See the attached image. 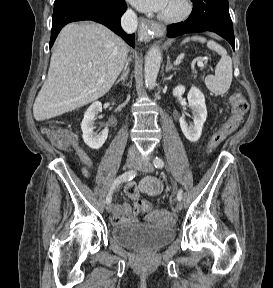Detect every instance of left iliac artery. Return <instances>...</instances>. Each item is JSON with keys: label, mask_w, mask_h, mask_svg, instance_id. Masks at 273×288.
Returning a JSON list of instances; mask_svg holds the SVG:
<instances>
[{"label": "left iliac artery", "mask_w": 273, "mask_h": 288, "mask_svg": "<svg viewBox=\"0 0 273 288\" xmlns=\"http://www.w3.org/2000/svg\"><path fill=\"white\" fill-rule=\"evenodd\" d=\"M153 163H154V166H155L156 168H159V169H160V168H163V166H164L163 160H162L161 158H159V157H156V158L154 159ZM182 197H183V192H182L181 189H179V191H178V193H177V199L181 201Z\"/></svg>", "instance_id": "obj_1"}]
</instances>
